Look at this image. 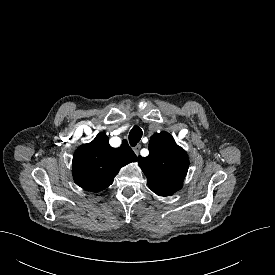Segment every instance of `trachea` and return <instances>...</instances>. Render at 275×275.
<instances>
[{
    "mask_svg": "<svg viewBox=\"0 0 275 275\" xmlns=\"http://www.w3.org/2000/svg\"><path fill=\"white\" fill-rule=\"evenodd\" d=\"M142 130L138 126H134L129 133V142L132 147L141 140Z\"/></svg>",
    "mask_w": 275,
    "mask_h": 275,
    "instance_id": "1",
    "label": "trachea"
}]
</instances>
